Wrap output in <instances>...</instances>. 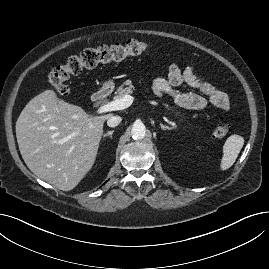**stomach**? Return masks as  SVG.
<instances>
[{
	"label": "stomach",
	"instance_id": "1",
	"mask_svg": "<svg viewBox=\"0 0 269 269\" xmlns=\"http://www.w3.org/2000/svg\"><path fill=\"white\" fill-rule=\"evenodd\" d=\"M114 85L113 81H108L104 84V88L110 89Z\"/></svg>",
	"mask_w": 269,
	"mask_h": 269
}]
</instances>
